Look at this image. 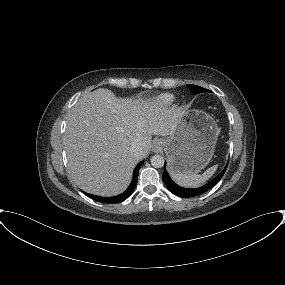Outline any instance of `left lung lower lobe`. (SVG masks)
I'll use <instances>...</instances> for the list:
<instances>
[{"mask_svg":"<svg viewBox=\"0 0 285 285\" xmlns=\"http://www.w3.org/2000/svg\"><path fill=\"white\" fill-rule=\"evenodd\" d=\"M227 165L224 168V170L216 178H214L213 180H211L206 185L200 188L188 189V188H183V187L178 186L172 181L166 169H164L162 180L167 185L168 190L179 197L189 198L193 196H198L208 191L210 188H212L214 185L218 183V181L223 177L226 171Z\"/></svg>","mask_w":285,"mask_h":285,"instance_id":"obj_1","label":"left lung lower lobe"}]
</instances>
